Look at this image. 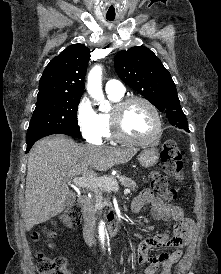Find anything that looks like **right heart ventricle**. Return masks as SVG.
Returning a JSON list of instances; mask_svg holds the SVG:
<instances>
[{"mask_svg":"<svg viewBox=\"0 0 221 274\" xmlns=\"http://www.w3.org/2000/svg\"><path fill=\"white\" fill-rule=\"evenodd\" d=\"M108 98L113 102L117 103L118 101L122 100L123 95H116L108 93ZM100 120L103 126V137L105 138H113L112 130H111V123H110V113L102 112L99 114Z\"/></svg>","mask_w":221,"mask_h":274,"instance_id":"1","label":"right heart ventricle"}]
</instances>
